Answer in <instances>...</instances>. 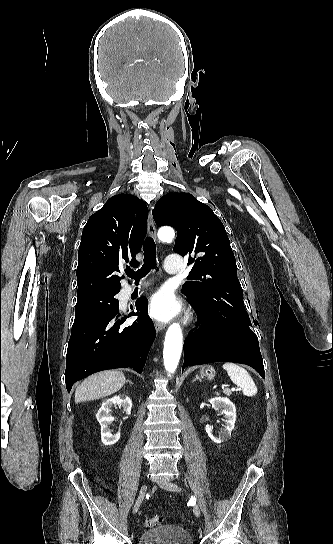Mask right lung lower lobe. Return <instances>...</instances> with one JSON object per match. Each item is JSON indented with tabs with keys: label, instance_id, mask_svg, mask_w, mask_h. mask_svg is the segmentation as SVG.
<instances>
[{
	"label": "right lung lower lobe",
	"instance_id": "right-lung-lower-lobe-1",
	"mask_svg": "<svg viewBox=\"0 0 333 544\" xmlns=\"http://www.w3.org/2000/svg\"><path fill=\"white\" fill-rule=\"evenodd\" d=\"M147 306L145 297L136 301L137 312L129 316L139 317L130 325L124 324L126 317L118 309L72 330L65 370L68 392L76 381L98 371L132 367L142 373L155 339Z\"/></svg>",
	"mask_w": 333,
	"mask_h": 544
}]
</instances>
